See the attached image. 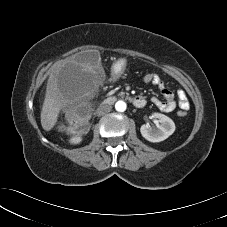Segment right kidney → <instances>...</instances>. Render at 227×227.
I'll use <instances>...</instances> for the list:
<instances>
[{
  "label": "right kidney",
  "mask_w": 227,
  "mask_h": 227,
  "mask_svg": "<svg viewBox=\"0 0 227 227\" xmlns=\"http://www.w3.org/2000/svg\"><path fill=\"white\" fill-rule=\"evenodd\" d=\"M81 141H82L81 136H73L72 138H70L71 144H79Z\"/></svg>",
  "instance_id": "obj_1"
}]
</instances>
